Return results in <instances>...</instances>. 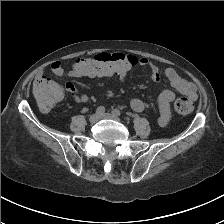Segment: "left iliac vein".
Wrapping results in <instances>:
<instances>
[{"label":"left iliac vein","instance_id":"left-iliac-vein-1","mask_svg":"<svg viewBox=\"0 0 224 224\" xmlns=\"http://www.w3.org/2000/svg\"><path fill=\"white\" fill-rule=\"evenodd\" d=\"M102 118L112 119V120H115V121H120L119 117L114 115L113 113H105V114L102 115Z\"/></svg>","mask_w":224,"mask_h":224}]
</instances>
